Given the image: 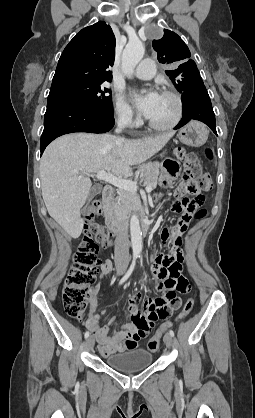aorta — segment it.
<instances>
[{"label": "aorta", "instance_id": "aorta-1", "mask_svg": "<svg viewBox=\"0 0 255 418\" xmlns=\"http://www.w3.org/2000/svg\"><path fill=\"white\" fill-rule=\"evenodd\" d=\"M145 53L144 45L141 41H130L122 54V70L127 76H131L136 65L141 61ZM130 234L133 255L138 256L142 251V232L139 218L132 215L130 219Z\"/></svg>", "mask_w": 255, "mask_h": 418}]
</instances>
